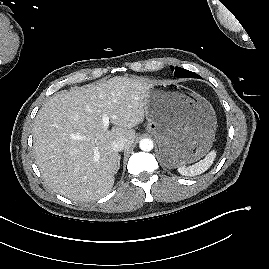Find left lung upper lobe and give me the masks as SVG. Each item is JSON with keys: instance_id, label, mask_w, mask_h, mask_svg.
I'll list each match as a JSON object with an SVG mask.
<instances>
[{"instance_id": "1", "label": "left lung upper lobe", "mask_w": 269, "mask_h": 269, "mask_svg": "<svg viewBox=\"0 0 269 269\" xmlns=\"http://www.w3.org/2000/svg\"><path fill=\"white\" fill-rule=\"evenodd\" d=\"M172 71H174V76L178 77V78H200L201 77L191 71H188L186 69L180 68V67H171Z\"/></svg>"}]
</instances>
